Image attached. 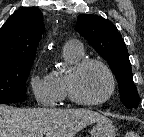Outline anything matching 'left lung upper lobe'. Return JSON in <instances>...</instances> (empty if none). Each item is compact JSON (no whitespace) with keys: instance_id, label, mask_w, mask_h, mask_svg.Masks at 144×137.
I'll list each match as a JSON object with an SVG mask.
<instances>
[{"instance_id":"1","label":"left lung upper lobe","mask_w":144,"mask_h":137,"mask_svg":"<svg viewBox=\"0 0 144 137\" xmlns=\"http://www.w3.org/2000/svg\"><path fill=\"white\" fill-rule=\"evenodd\" d=\"M76 30L109 62L119 83L121 101L136 108L139 96L133 82L131 63L125 43L112 22L92 14L79 15Z\"/></svg>"}]
</instances>
